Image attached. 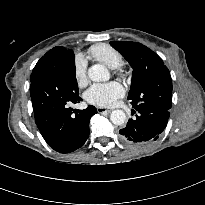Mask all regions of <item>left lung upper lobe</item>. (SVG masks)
<instances>
[{
	"instance_id": "1",
	"label": "left lung upper lobe",
	"mask_w": 205,
	"mask_h": 205,
	"mask_svg": "<svg viewBox=\"0 0 205 205\" xmlns=\"http://www.w3.org/2000/svg\"><path fill=\"white\" fill-rule=\"evenodd\" d=\"M133 68L128 100L133 108L158 107L169 110L172 103V80L162 59L138 42L111 41Z\"/></svg>"
}]
</instances>
